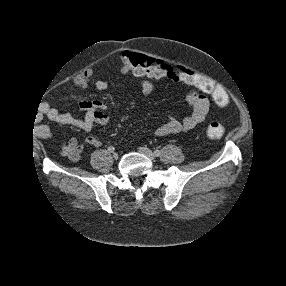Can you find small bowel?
<instances>
[{
    "label": "small bowel",
    "instance_id": "small-bowel-1",
    "mask_svg": "<svg viewBox=\"0 0 286 286\" xmlns=\"http://www.w3.org/2000/svg\"><path fill=\"white\" fill-rule=\"evenodd\" d=\"M169 67L171 68L170 79L175 82L184 83L189 87L186 94V102L190 108V114L181 120L170 117L163 125L157 128L156 134L158 136H166L193 129L206 118L209 110L208 98L198 93L194 84L176 77L178 75V67L172 65H169ZM95 86L99 90H104L107 88V82L103 79H98L95 82ZM140 88L143 94L150 95L153 93L155 85L150 79L143 78L140 81ZM79 106L81 110L85 112L83 118H76L68 113H62L53 107L48 110L47 116L51 121L59 125L72 126L84 131H90L95 125L104 126L108 123L109 118L105 112V105L102 101L82 100ZM43 134L46 137L50 136L51 129L44 127ZM86 143L94 147L101 145L100 139L92 135L86 138ZM83 150V146L75 138H71L62 143L60 153L71 161L77 162L81 159Z\"/></svg>",
    "mask_w": 286,
    "mask_h": 286
}]
</instances>
